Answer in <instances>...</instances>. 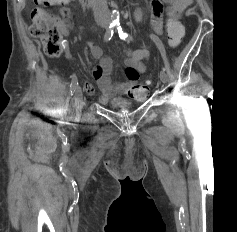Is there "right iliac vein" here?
I'll return each instance as SVG.
<instances>
[{
	"mask_svg": "<svg viewBox=\"0 0 237 232\" xmlns=\"http://www.w3.org/2000/svg\"><path fill=\"white\" fill-rule=\"evenodd\" d=\"M83 95L82 90L80 87H77L74 95V107L76 110V114L79 116L81 113V110L83 108Z\"/></svg>",
	"mask_w": 237,
	"mask_h": 232,
	"instance_id": "63e3f726",
	"label": "right iliac vein"
}]
</instances>
